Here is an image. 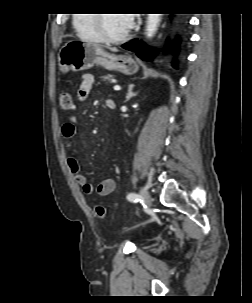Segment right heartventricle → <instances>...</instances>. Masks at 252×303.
Returning a JSON list of instances; mask_svg holds the SVG:
<instances>
[{
    "label": "right heart ventricle",
    "instance_id": "right-heart-ventricle-1",
    "mask_svg": "<svg viewBox=\"0 0 252 303\" xmlns=\"http://www.w3.org/2000/svg\"><path fill=\"white\" fill-rule=\"evenodd\" d=\"M74 26L82 38L92 42L103 41L98 28L96 14H78L74 18Z\"/></svg>",
    "mask_w": 252,
    "mask_h": 303
}]
</instances>
